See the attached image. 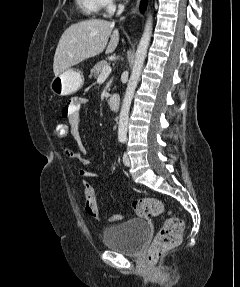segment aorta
Wrapping results in <instances>:
<instances>
[{"instance_id":"obj_1","label":"aorta","mask_w":240,"mask_h":287,"mask_svg":"<svg viewBox=\"0 0 240 287\" xmlns=\"http://www.w3.org/2000/svg\"><path fill=\"white\" fill-rule=\"evenodd\" d=\"M152 35V16L149 15L144 32L142 37L139 41L136 54H135V61L133 65V69L130 75V79L127 85V89L124 95L120 116H119V123H118V138L119 140H126L127 138V128H128V118H129V111L131 102L134 96V92L136 90L137 84L140 79V75L143 69L144 61L147 55V50L149 47V43L151 40Z\"/></svg>"}]
</instances>
